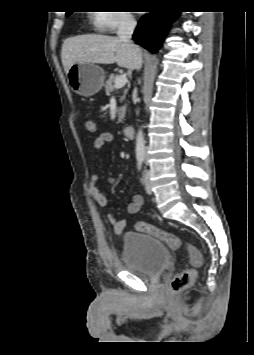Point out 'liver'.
Segmentation results:
<instances>
[{
	"mask_svg": "<svg viewBox=\"0 0 254 355\" xmlns=\"http://www.w3.org/2000/svg\"><path fill=\"white\" fill-rule=\"evenodd\" d=\"M138 51L121 41L118 37L87 34L68 38L61 50V59L65 73L75 63H117L119 67L130 70L136 69Z\"/></svg>",
	"mask_w": 254,
	"mask_h": 355,
	"instance_id": "6515ba94",
	"label": "liver"
}]
</instances>
